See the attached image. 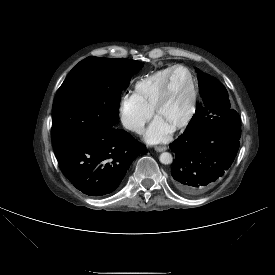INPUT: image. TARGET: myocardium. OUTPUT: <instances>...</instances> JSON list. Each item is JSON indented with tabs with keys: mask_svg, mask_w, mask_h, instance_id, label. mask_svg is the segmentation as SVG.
Here are the masks:
<instances>
[{
	"mask_svg": "<svg viewBox=\"0 0 275 275\" xmlns=\"http://www.w3.org/2000/svg\"><path fill=\"white\" fill-rule=\"evenodd\" d=\"M179 69L184 70L189 76L190 87H191V100H190L189 109H188V112H187L185 118L173 127L174 131H178V130H181V129H184L185 127H187L189 125V123L191 122V120L193 119L195 111H196L198 93H197V87H196V82H195L194 76L189 68H187L186 66H183V65H176L171 69V71L168 74V77L159 93V96L157 98L155 106L153 108L154 114L157 117L160 110L162 109L163 105L165 104L168 95H169L173 74L175 73V71H177Z\"/></svg>",
	"mask_w": 275,
	"mask_h": 275,
	"instance_id": "1",
	"label": "myocardium"
}]
</instances>
